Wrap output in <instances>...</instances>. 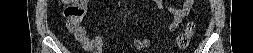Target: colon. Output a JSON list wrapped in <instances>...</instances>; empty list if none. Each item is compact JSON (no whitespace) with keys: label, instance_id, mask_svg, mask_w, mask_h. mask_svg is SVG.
Listing matches in <instances>:
<instances>
[{"label":"colon","instance_id":"colon-1","mask_svg":"<svg viewBox=\"0 0 253 53\" xmlns=\"http://www.w3.org/2000/svg\"><path fill=\"white\" fill-rule=\"evenodd\" d=\"M85 1H73L70 6L65 9V16L67 18V27L70 31H76L87 15V8L84 5ZM195 30V23L188 22L186 28L180 33L176 39V46L179 49L188 47ZM134 45L138 49L145 48L147 42L145 40H136Z\"/></svg>","mask_w":253,"mask_h":53}]
</instances>
